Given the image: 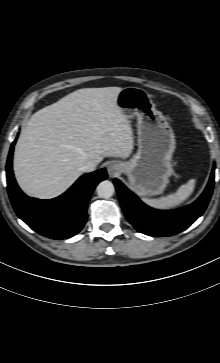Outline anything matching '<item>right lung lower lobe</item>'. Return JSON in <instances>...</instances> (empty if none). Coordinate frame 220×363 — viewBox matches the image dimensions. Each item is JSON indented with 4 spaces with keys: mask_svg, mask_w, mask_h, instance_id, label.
Segmentation results:
<instances>
[{
    "mask_svg": "<svg viewBox=\"0 0 220 363\" xmlns=\"http://www.w3.org/2000/svg\"><path fill=\"white\" fill-rule=\"evenodd\" d=\"M12 143L6 166L7 189L13 208L31 229L51 239H66L77 234L86 223L87 205L96 185L107 178L105 169L81 176L61 196L40 200L26 196L18 187L13 171Z\"/></svg>",
    "mask_w": 220,
    "mask_h": 363,
    "instance_id": "1",
    "label": "right lung lower lobe"
}]
</instances>
